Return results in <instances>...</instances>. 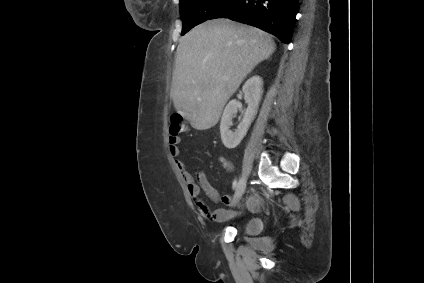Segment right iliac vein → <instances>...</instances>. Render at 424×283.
<instances>
[{
    "mask_svg": "<svg viewBox=\"0 0 424 283\" xmlns=\"http://www.w3.org/2000/svg\"><path fill=\"white\" fill-rule=\"evenodd\" d=\"M245 188H246V178L244 175H242L235 191L234 202H237L241 199V197L243 196L245 192Z\"/></svg>",
    "mask_w": 424,
    "mask_h": 283,
    "instance_id": "right-iliac-vein-1",
    "label": "right iliac vein"
}]
</instances>
